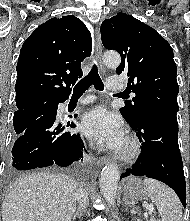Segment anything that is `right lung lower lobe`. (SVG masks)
<instances>
[{
  "label": "right lung lower lobe",
  "mask_w": 190,
  "mask_h": 221,
  "mask_svg": "<svg viewBox=\"0 0 190 221\" xmlns=\"http://www.w3.org/2000/svg\"><path fill=\"white\" fill-rule=\"evenodd\" d=\"M67 98L54 100L48 110L33 121L17 138L12 148L11 166L17 170H29L57 164L66 167L82 160L83 142L79 134L63 132L56 120L57 106ZM67 126L75 127L68 122Z\"/></svg>",
  "instance_id": "98d812e1"
}]
</instances>
